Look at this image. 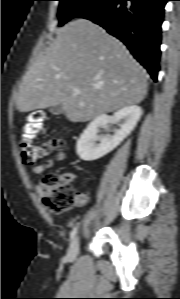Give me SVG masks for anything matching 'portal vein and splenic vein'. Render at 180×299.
Masks as SVG:
<instances>
[{
	"instance_id": "18ae733b",
	"label": "portal vein and splenic vein",
	"mask_w": 180,
	"mask_h": 299,
	"mask_svg": "<svg viewBox=\"0 0 180 299\" xmlns=\"http://www.w3.org/2000/svg\"><path fill=\"white\" fill-rule=\"evenodd\" d=\"M74 92H75L76 94H80V93H81L80 89H74Z\"/></svg>"
}]
</instances>
